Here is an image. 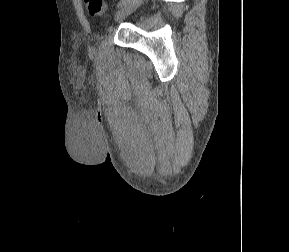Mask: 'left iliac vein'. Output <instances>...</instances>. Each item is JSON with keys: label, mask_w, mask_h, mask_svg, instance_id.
Wrapping results in <instances>:
<instances>
[{"label": "left iliac vein", "mask_w": 289, "mask_h": 252, "mask_svg": "<svg viewBox=\"0 0 289 252\" xmlns=\"http://www.w3.org/2000/svg\"><path fill=\"white\" fill-rule=\"evenodd\" d=\"M143 2V0H129L125 5L120 7L115 15V20L119 21L134 12Z\"/></svg>", "instance_id": "left-iliac-vein-1"}]
</instances>
